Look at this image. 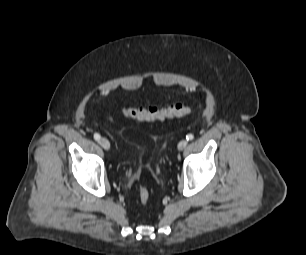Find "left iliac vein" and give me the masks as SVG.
<instances>
[{"label": "left iliac vein", "mask_w": 306, "mask_h": 255, "mask_svg": "<svg viewBox=\"0 0 306 255\" xmlns=\"http://www.w3.org/2000/svg\"><path fill=\"white\" fill-rule=\"evenodd\" d=\"M188 144V141L186 139H183L181 140L179 143H178V150L179 151H182L185 149V147L187 146Z\"/></svg>", "instance_id": "left-iliac-vein-1"}]
</instances>
